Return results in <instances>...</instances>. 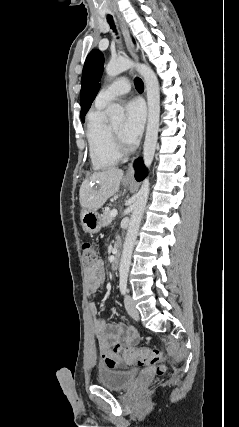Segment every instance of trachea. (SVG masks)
<instances>
[{
    "label": "trachea",
    "instance_id": "obj_1",
    "mask_svg": "<svg viewBox=\"0 0 239 427\" xmlns=\"http://www.w3.org/2000/svg\"><path fill=\"white\" fill-rule=\"evenodd\" d=\"M107 20H108V22L110 23L111 28H112L114 31H116V30H115V25H114V22H113V18H112V16H108V17H107ZM134 84H135L136 89H137L139 92H142V91L144 90V84H143V81H142L139 77H136V78H135V80H134Z\"/></svg>",
    "mask_w": 239,
    "mask_h": 427
}]
</instances>
